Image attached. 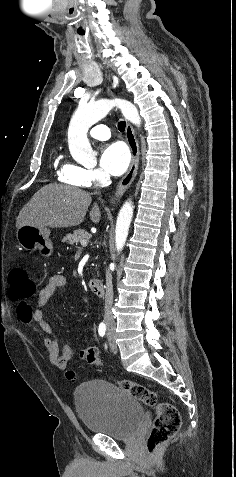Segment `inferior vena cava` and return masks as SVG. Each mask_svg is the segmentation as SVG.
Instances as JSON below:
<instances>
[{
	"instance_id": "inferior-vena-cava-1",
	"label": "inferior vena cava",
	"mask_w": 236,
	"mask_h": 477,
	"mask_svg": "<svg viewBox=\"0 0 236 477\" xmlns=\"http://www.w3.org/2000/svg\"><path fill=\"white\" fill-rule=\"evenodd\" d=\"M111 183L109 176H106L104 180L100 183L101 186H107ZM113 304V285H112V277L109 271L106 275V295H105V313H104V320L107 326H114L115 321L111 312V307Z\"/></svg>"
}]
</instances>
